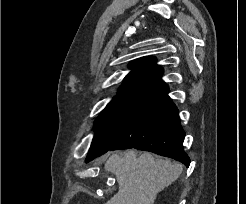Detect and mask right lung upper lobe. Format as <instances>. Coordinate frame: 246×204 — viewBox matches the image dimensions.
<instances>
[{
	"label": "right lung upper lobe",
	"mask_w": 246,
	"mask_h": 204,
	"mask_svg": "<svg viewBox=\"0 0 246 204\" xmlns=\"http://www.w3.org/2000/svg\"><path fill=\"white\" fill-rule=\"evenodd\" d=\"M132 71L127 74L112 101H136L165 85L161 76L163 70L154 57H143L129 64Z\"/></svg>",
	"instance_id": "1"
}]
</instances>
